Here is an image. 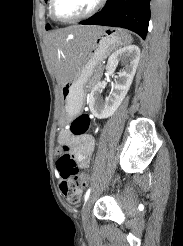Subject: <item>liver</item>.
<instances>
[{
	"label": "liver",
	"instance_id": "1",
	"mask_svg": "<svg viewBox=\"0 0 183 246\" xmlns=\"http://www.w3.org/2000/svg\"><path fill=\"white\" fill-rule=\"evenodd\" d=\"M102 27H68L51 32L47 44L51 62L60 84L68 82L75 74L82 61V52L86 44L91 43ZM73 34V42H66L67 36Z\"/></svg>",
	"mask_w": 183,
	"mask_h": 246
}]
</instances>
